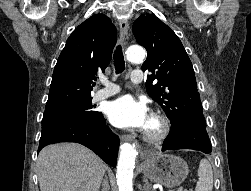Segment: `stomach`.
Returning a JSON list of instances; mask_svg holds the SVG:
<instances>
[{"label": "stomach", "instance_id": "0dacf381", "mask_svg": "<svg viewBox=\"0 0 251 191\" xmlns=\"http://www.w3.org/2000/svg\"><path fill=\"white\" fill-rule=\"evenodd\" d=\"M145 177L162 183L166 187L179 185L186 179L189 173L188 163L171 153H156V155H146L142 165Z\"/></svg>", "mask_w": 251, "mask_h": 191}]
</instances>
